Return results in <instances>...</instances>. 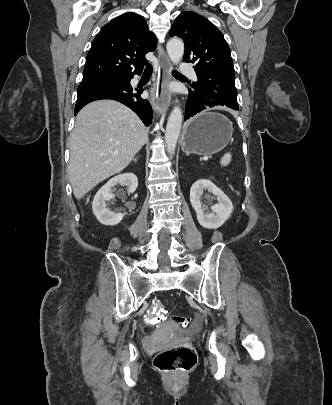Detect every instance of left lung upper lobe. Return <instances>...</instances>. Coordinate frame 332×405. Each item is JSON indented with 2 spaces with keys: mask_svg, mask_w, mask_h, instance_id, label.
<instances>
[{
  "mask_svg": "<svg viewBox=\"0 0 332 405\" xmlns=\"http://www.w3.org/2000/svg\"><path fill=\"white\" fill-rule=\"evenodd\" d=\"M169 34L183 39V60L194 64L198 81L190 91L202 97L207 108L220 105L238 110L234 67L222 33L204 17L185 11Z\"/></svg>",
  "mask_w": 332,
  "mask_h": 405,
  "instance_id": "obj_1",
  "label": "left lung upper lobe"
}]
</instances>
